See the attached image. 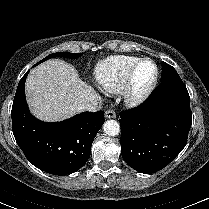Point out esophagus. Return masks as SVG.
Here are the masks:
<instances>
[{"label":"esophagus","mask_w":209,"mask_h":209,"mask_svg":"<svg viewBox=\"0 0 209 209\" xmlns=\"http://www.w3.org/2000/svg\"><path fill=\"white\" fill-rule=\"evenodd\" d=\"M116 117V113L111 110V109H108L105 111V118L106 119H111V118H115Z\"/></svg>","instance_id":"obj_1"}]
</instances>
